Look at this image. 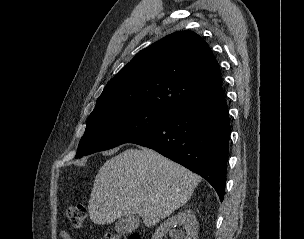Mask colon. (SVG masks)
Returning a JSON list of instances; mask_svg holds the SVG:
<instances>
[{
	"label": "colon",
	"instance_id": "colon-1",
	"mask_svg": "<svg viewBox=\"0 0 304 239\" xmlns=\"http://www.w3.org/2000/svg\"><path fill=\"white\" fill-rule=\"evenodd\" d=\"M65 214L71 226L75 229H81L86 220V208L82 204H68L65 208ZM105 239H142L139 233L122 234L115 231H108Z\"/></svg>",
	"mask_w": 304,
	"mask_h": 239
}]
</instances>
